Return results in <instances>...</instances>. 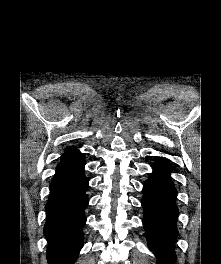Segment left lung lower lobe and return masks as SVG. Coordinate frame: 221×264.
<instances>
[{"label":"left lung lower lobe","instance_id":"obj_1","mask_svg":"<svg viewBox=\"0 0 221 264\" xmlns=\"http://www.w3.org/2000/svg\"><path fill=\"white\" fill-rule=\"evenodd\" d=\"M171 170L161 161L153 165V173L144 184L143 225L148 246L159 259V264H172L176 258L173 246L178 234L175 204L176 188L170 177Z\"/></svg>","mask_w":221,"mask_h":264}]
</instances>
